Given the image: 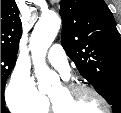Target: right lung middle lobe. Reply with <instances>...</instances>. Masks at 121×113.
Here are the masks:
<instances>
[{
    "instance_id": "obj_1",
    "label": "right lung middle lobe",
    "mask_w": 121,
    "mask_h": 113,
    "mask_svg": "<svg viewBox=\"0 0 121 113\" xmlns=\"http://www.w3.org/2000/svg\"><path fill=\"white\" fill-rule=\"evenodd\" d=\"M16 56L1 53V105H5L4 87L7 77L15 66Z\"/></svg>"
}]
</instances>
